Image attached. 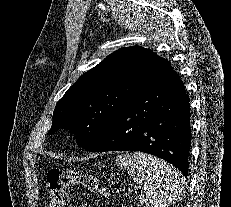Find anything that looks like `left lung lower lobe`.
<instances>
[{
  "label": "left lung lower lobe",
  "instance_id": "1",
  "mask_svg": "<svg viewBox=\"0 0 231 207\" xmlns=\"http://www.w3.org/2000/svg\"><path fill=\"white\" fill-rule=\"evenodd\" d=\"M190 116L184 84L169 61L161 58L143 90L116 114L87 150L150 153L170 162L187 177Z\"/></svg>",
  "mask_w": 231,
  "mask_h": 207
}]
</instances>
